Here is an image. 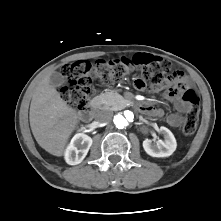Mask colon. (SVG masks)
Wrapping results in <instances>:
<instances>
[{
    "label": "colon",
    "instance_id": "1",
    "mask_svg": "<svg viewBox=\"0 0 221 221\" xmlns=\"http://www.w3.org/2000/svg\"><path fill=\"white\" fill-rule=\"evenodd\" d=\"M132 68L139 70L141 78L136 81L138 88L161 85L170 73V63L160 57L138 54L133 59H99L94 63L79 60L63 68L65 85L61 88L62 99L72 108L86 110L91 94V84L96 79H119ZM181 97L190 108L187 113L183 134L191 136L196 131L199 119L200 103L197 92L180 84L176 86Z\"/></svg>",
    "mask_w": 221,
    "mask_h": 221
}]
</instances>
